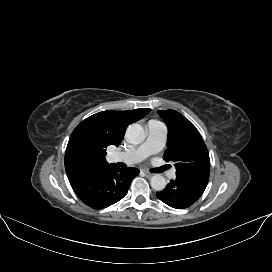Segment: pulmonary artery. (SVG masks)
<instances>
[{"instance_id":"1","label":"pulmonary artery","mask_w":272,"mask_h":272,"mask_svg":"<svg viewBox=\"0 0 272 272\" xmlns=\"http://www.w3.org/2000/svg\"><path fill=\"white\" fill-rule=\"evenodd\" d=\"M167 138V130L163 123L157 120H150L147 123V138L143 144L136 149L125 152H114L112 158L116 162H124L127 164H135L151 154L157 153L165 145ZM176 175L174 169L169 171L168 177L173 179Z\"/></svg>"}]
</instances>
